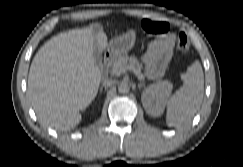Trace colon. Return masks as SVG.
Returning a JSON list of instances; mask_svg holds the SVG:
<instances>
[{"mask_svg": "<svg viewBox=\"0 0 243 167\" xmlns=\"http://www.w3.org/2000/svg\"><path fill=\"white\" fill-rule=\"evenodd\" d=\"M143 31L148 35H160L168 30V23L159 19H144L141 22ZM177 46L179 50L186 54L189 50V43L187 35L180 32L177 37Z\"/></svg>", "mask_w": 243, "mask_h": 167, "instance_id": "1", "label": "colon"}]
</instances>
